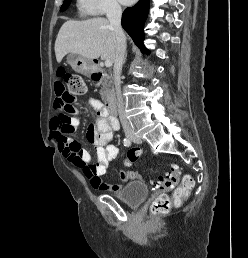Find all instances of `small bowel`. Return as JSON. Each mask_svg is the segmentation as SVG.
Instances as JSON below:
<instances>
[{
    "mask_svg": "<svg viewBox=\"0 0 248 258\" xmlns=\"http://www.w3.org/2000/svg\"><path fill=\"white\" fill-rule=\"evenodd\" d=\"M56 100L67 92L61 81H57L54 85ZM86 104L94 109L96 116L93 122L88 126L87 139L90 143L96 146L97 163L93 162L91 155L81 149L78 142L74 141L70 136L63 134L57 130L52 123V137L57 141L59 151L63 157L74 166L83 169L90 168L93 174L86 176L95 189L101 191L118 192L124 187V184L136 179L138 174L133 171L123 170L120 173L121 182L118 184H106L103 177L106 174L109 162L115 158L119 152L118 148L113 144H108L106 147L101 146L102 142H110L113 134L119 128V123L116 118L108 115L106 107L103 103L95 98H89ZM74 117L71 119V125L74 129L79 126V112L73 110ZM53 121V120H52ZM73 132V131H72ZM71 133V132H70ZM95 175V176H93Z\"/></svg>",
    "mask_w": 248,
    "mask_h": 258,
    "instance_id": "1",
    "label": "small bowel"
}]
</instances>
